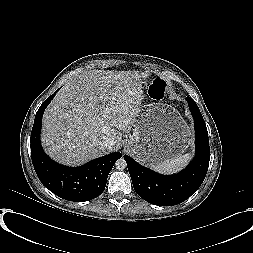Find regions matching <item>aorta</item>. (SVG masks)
I'll return each instance as SVG.
<instances>
[{
  "label": "aorta",
  "instance_id": "762f6f07",
  "mask_svg": "<svg viewBox=\"0 0 253 253\" xmlns=\"http://www.w3.org/2000/svg\"><path fill=\"white\" fill-rule=\"evenodd\" d=\"M115 167L118 170H124L127 167V162L124 158H120L116 161Z\"/></svg>",
  "mask_w": 253,
  "mask_h": 253
}]
</instances>
